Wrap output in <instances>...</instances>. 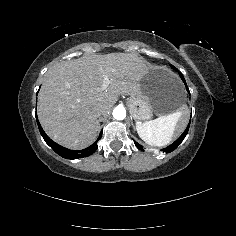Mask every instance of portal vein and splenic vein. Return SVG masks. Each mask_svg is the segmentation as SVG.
I'll return each mask as SVG.
<instances>
[{"mask_svg": "<svg viewBox=\"0 0 236 236\" xmlns=\"http://www.w3.org/2000/svg\"><path fill=\"white\" fill-rule=\"evenodd\" d=\"M109 84H110V80H109V78L105 75V76H104V79H103V84H102V86L100 87V90H101V91L106 90L107 87L109 86Z\"/></svg>", "mask_w": 236, "mask_h": 236, "instance_id": "obj_1", "label": "portal vein and splenic vein"}]
</instances>
